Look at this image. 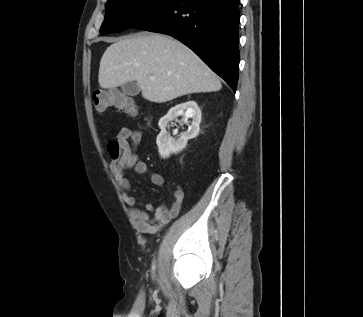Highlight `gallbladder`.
<instances>
[{"label": "gallbladder", "mask_w": 363, "mask_h": 317, "mask_svg": "<svg viewBox=\"0 0 363 317\" xmlns=\"http://www.w3.org/2000/svg\"><path fill=\"white\" fill-rule=\"evenodd\" d=\"M121 90L125 95L136 96L140 92V88L134 81H129L121 85Z\"/></svg>", "instance_id": "1"}]
</instances>
